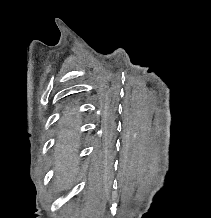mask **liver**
<instances>
[{
    "mask_svg": "<svg viewBox=\"0 0 211 218\" xmlns=\"http://www.w3.org/2000/svg\"><path fill=\"white\" fill-rule=\"evenodd\" d=\"M76 134H73L71 130L62 132L61 142L57 144V150L60 152V160L57 164L58 170V188L61 190H68L70 186L74 184V168H75V154L74 146L76 144Z\"/></svg>",
    "mask_w": 211,
    "mask_h": 218,
    "instance_id": "1",
    "label": "liver"
}]
</instances>
